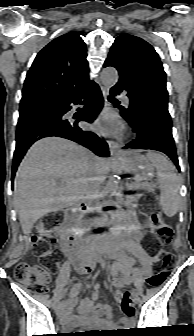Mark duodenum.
Instances as JSON below:
<instances>
[{"instance_id": "duodenum-1", "label": "duodenum", "mask_w": 194, "mask_h": 336, "mask_svg": "<svg viewBox=\"0 0 194 336\" xmlns=\"http://www.w3.org/2000/svg\"><path fill=\"white\" fill-rule=\"evenodd\" d=\"M84 210H86L85 204L79 203L66 212L62 224L64 231L62 248L63 252L75 263L92 268L97 257L101 255L102 249L91 248L82 236L79 221Z\"/></svg>"}]
</instances>
